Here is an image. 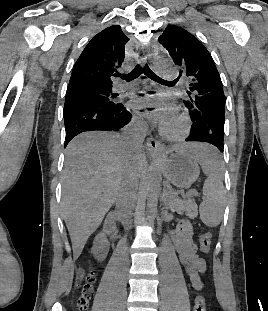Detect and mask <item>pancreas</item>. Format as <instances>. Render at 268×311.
<instances>
[{
  "label": "pancreas",
  "mask_w": 268,
  "mask_h": 311,
  "mask_svg": "<svg viewBox=\"0 0 268 311\" xmlns=\"http://www.w3.org/2000/svg\"><path fill=\"white\" fill-rule=\"evenodd\" d=\"M194 195H185L183 199L179 198L173 191H169L165 198L166 208L171 212H177L178 214H186L190 218L197 215V204L192 198Z\"/></svg>",
  "instance_id": "1"
}]
</instances>
